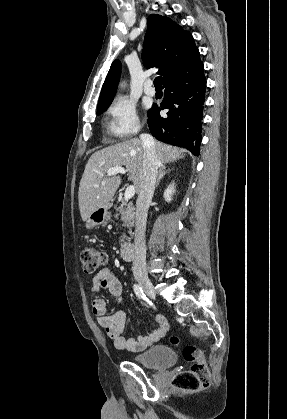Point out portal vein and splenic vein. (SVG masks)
Segmentation results:
<instances>
[{"instance_id":"1","label":"portal vein and splenic vein","mask_w":287,"mask_h":419,"mask_svg":"<svg viewBox=\"0 0 287 419\" xmlns=\"http://www.w3.org/2000/svg\"><path fill=\"white\" fill-rule=\"evenodd\" d=\"M127 171L123 167H114L107 171V176H114L116 174H125ZM135 194V187L133 185H130L126 188L124 199L128 201L131 199Z\"/></svg>"}]
</instances>
